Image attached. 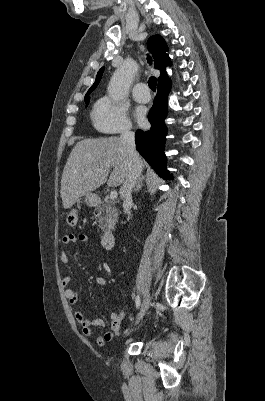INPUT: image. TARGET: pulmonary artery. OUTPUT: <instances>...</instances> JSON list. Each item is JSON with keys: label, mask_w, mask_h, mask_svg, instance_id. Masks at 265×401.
<instances>
[{"label": "pulmonary artery", "mask_w": 265, "mask_h": 401, "mask_svg": "<svg viewBox=\"0 0 265 401\" xmlns=\"http://www.w3.org/2000/svg\"><path fill=\"white\" fill-rule=\"evenodd\" d=\"M133 98L142 103H148L151 100V95L148 93L147 84L144 81L138 82L136 84L135 93H133Z\"/></svg>", "instance_id": "e3ab8cb5"}]
</instances>
